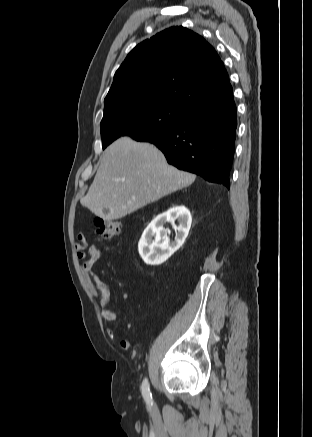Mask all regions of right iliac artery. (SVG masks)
<instances>
[{
  "instance_id": "right-iliac-artery-1",
  "label": "right iliac artery",
  "mask_w": 312,
  "mask_h": 437,
  "mask_svg": "<svg viewBox=\"0 0 312 437\" xmlns=\"http://www.w3.org/2000/svg\"><path fill=\"white\" fill-rule=\"evenodd\" d=\"M142 395L148 404L152 403V394L150 392L149 383L147 379H144L142 384Z\"/></svg>"
}]
</instances>
